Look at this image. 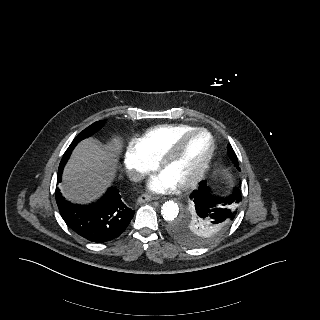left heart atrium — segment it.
I'll return each instance as SVG.
<instances>
[{
  "instance_id": "left-heart-atrium-1",
  "label": "left heart atrium",
  "mask_w": 320,
  "mask_h": 320,
  "mask_svg": "<svg viewBox=\"0 0 320 320\" xmlns=\"http://www.w3.org/2000/svg\"><path fill=\"white\" fill-rule=\"evenodd\" d=\"M149 189L153 192H166L174 189L176 184L163 174L154 176L149 182Z\"/></svg>"
}]
</instances>
